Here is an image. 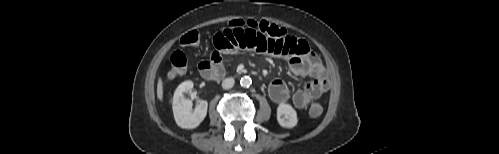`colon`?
<instances>
[{
    "label": "colon",
    "instance_id": "colon-1",
    "mask_svg": "<svg viewBox=\"0 0 499 154\" xmlns=\"http://www.w3.org/2000/svg\"><path fill=\"white\" fill-rule=\"evenodd\" d=\"M230 28H253L259 30L260 32L274 37V38H282L286 35V32L283 28L268 21H254V20H236L230 22ZM200 36L197 31H190L184 34L180 39V44L184 48H189L195 46L199 43ZM187 56L186 53L182 50H177L173 52L170 57V67H169V76L172 78L183 75L187 70ZM323 112V108L320 103L313 102L309 108V115L313 118L319 117Z\"/></svg>",
    "mask_w": 499,
    "mask_h": 154
}]
</instances>
